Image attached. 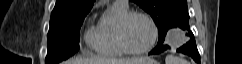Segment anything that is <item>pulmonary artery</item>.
Wrapping results in <instances>:
<instances>
[{
    "label": "pulmonary artery",
    "mask_w": 242,
    "mask_h": 64,
    "mask_svg": "<svg viewBox=\"0 0 242 64\" xmlns=\"http://www.w3.org/2000/svg\"><path fill=\"white\" fill-rule=\"evenodd\" d=\"M115 4L121 5V6H128V1L127 0H117L114 2Z\"/></svg>",
    "instance_id": "e3ab8cb5"
}]
</instances>
